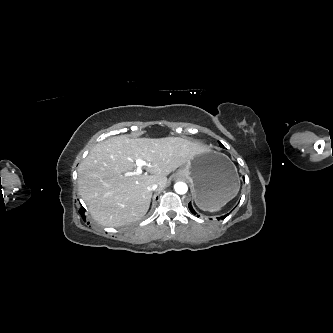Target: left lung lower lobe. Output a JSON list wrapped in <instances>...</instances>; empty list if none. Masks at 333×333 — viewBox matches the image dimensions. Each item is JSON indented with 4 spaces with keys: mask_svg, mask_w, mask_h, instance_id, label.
<instances>
[{
    "mask_svg": "<svg viewBox=\"0 0 333 333\" xmlns=\"http://www.w3.org/2000/svg\"><path fill=\"white\" fill-rule=\"evenodd\" d=\"M188 207H189L190 211H191L193 214H196V212L194 211V209H193L191 203L188 204ZM228 215H229V214H226V215H224V216H221V217L218 218V220H220V219H224V218H225L226 216H228Z\"/></svg>",
    "mask_w": 333,
    "mask_h": 333,
    "instance_id": "0a47b994",
    "label": "left lung lower lobe"
}]
</instances>
